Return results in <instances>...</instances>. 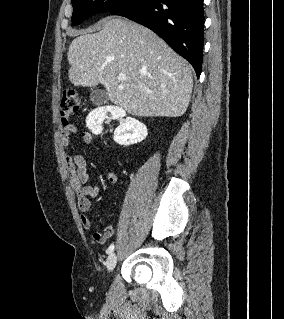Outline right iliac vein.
Listing matches in <instances>:
<instances>
[{
  "instance_id": "obj_1",
  "label": "right iliac vein",
  "mask_w": 284,
  "mask_h": 319,
  "mask_svg": "<svg viewBox=\"0 0 284 319\" xmlns=\"http://www.w3.org/2000/svg\"><path fill=\"white\" fill-rule=\"evenodd\" d=\"M116 263H117L116 254L110 253V255L107 258V262H106L108 272H111L115 268Z\"/></svg>"
}]
</instances>
